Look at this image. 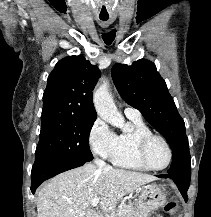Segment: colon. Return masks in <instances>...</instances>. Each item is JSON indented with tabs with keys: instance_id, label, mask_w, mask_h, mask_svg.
I'll return each instance as SVG.
<instances>
[{
	"instance_id": "5ec220e1",
	"label": "colon",
	"mask_w": 211,
	"mask_h": 217,
	"mask_svg": "<svg viewBox=\"0 0 211 217\" xmlns=\"http://www.w3.org/2000/svg\"><path fill=\"white\" fill-rule=\"evenodd\" d=\"M165 211L169 214H175L177 211V205L174 201H169L166 205H165Z\"/></svg>"
}]
</instances>
